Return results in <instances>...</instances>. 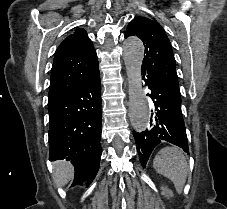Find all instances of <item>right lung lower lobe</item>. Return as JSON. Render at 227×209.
<instances>
[{
	"label": "right lung lower lobe",
	"instance_id": "1",
	"mask_svg": "<svg viewBox=\"0 0 227 209\" xmlns=\"http://www.w3.org/2000/svg\"><path fill=\"white\" fill-rule=\"evenodd\" d=\"M88 74L84 82L60 99L48 103L49 160L66 159L75 168L72 186L95 178L101 157V83L98 66L74 67Z\"/></svg>",
	"mask_w": 227,
	"mask_h": 209
}]
</instances>
